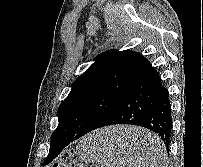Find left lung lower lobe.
<instances>
[{"instance_id": "obj_1", "label": "left lung lower lobe", "mask_w": 203, "mask_h": 167, "mask_svg": "<svg viewBox=\"0 0 203 167\" xmlns=\"http://www.w3.org/2000/svg\"><path fill=\"white\" fill-rule=\"evenodd\" d=\"M172 123L168 90L163 85L158 72L148 61L136 75L113 111L98 128L115 124L142 126L155 132L168 150ZM76 139L78 138H61L53 142L45 164L51 162Z\"/></svg>"}]
</instances>
